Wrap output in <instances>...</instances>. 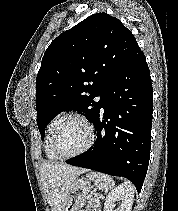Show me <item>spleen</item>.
Segmentation results:
<instances>
[{"instance_id":"spleen-1","label":"spleen","mask_w":178,"mask_h":211,"mask_svg":"<svg viewBox=\"0 0 178 211\" xmlns=\"http://www.w3.org/2000/svg\"><path fill=\"white\" fill-rule=\"evenodd\" d=\"M87 178L94 182L99 189L112 190L115 186L113 179L107 174L90 172Z\"/></svg>"}]
</instances>
